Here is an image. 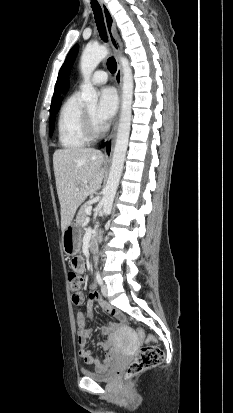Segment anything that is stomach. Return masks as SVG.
I'll use <instances>...</instances> for the list:
<instances>
[{"label": "stomach", "mask_w": 233, "mask_h": 413, "mask_svg": "<svg viewBox=\"0 0 233 413\" xmlns=\"http://www.w3.org/2000/svg\"><path fill=\"white\" fill-rule=\"evenodd\" d=\"M82 230L79 225L71 223L65 228L62 235V246L66 255H77L80 251Z\"/></svg>", "instance_id": "obj_1"}]
</instances>
